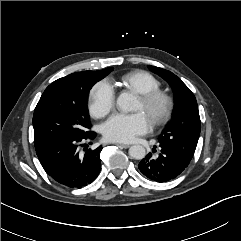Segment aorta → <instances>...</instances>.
Returning <instances> with one entry per match:
<instances>
[{"mask_svg":"<svg viewBox=\"0 0 241 241\" xmlns=\"http://www.w3.org/2000/svg\"><path fill=\"white\" fill-rule=\"evenodd\" d=\"M117 106L125 112L135 109V98L126 92H123L117 98ZM146 151L142 145H133L129 148V155L136 160H141L145 157Z\"/></svg>","mask_w":241,"mask_h":241,"instance_id":"1","label":"aorta"}]
</instances>
